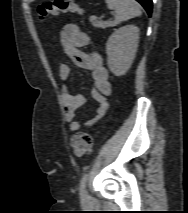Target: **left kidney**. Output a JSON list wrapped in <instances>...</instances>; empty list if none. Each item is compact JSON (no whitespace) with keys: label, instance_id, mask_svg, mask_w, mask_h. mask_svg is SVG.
I'll list each match as a JSON object with an SVG mask.
<instances>
[{"label":"left kidney","instance_id":"5707ae66","mask_svg":"<svg viewBox=\"0 0 188 213\" xmlns=\"http://www.w3.org/2000/svg\"><path fill=\"white\" fill-rule=\"evenodd\" d=\"M139 41V28L126 25L116 29L106 43L107 62L115 76L124 75L131 67Z\"/></svg>","mask_w":188,"mask_h":213}]
</instances>
